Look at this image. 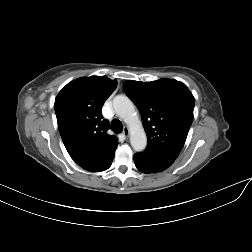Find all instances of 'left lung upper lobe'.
Returning a JSON list of instances; mask_svg holds the SVG:
<instances>
[{
  "instance_id": "left-lung-upper-lobe-1",
  "label": "left lung upper lobe",
  "mask_w": 252,
  "mask_h": 252,
  "mask_svg": "<svg viewBox=\"0 0 252 252\" xmlns=\"http://www.w3.org/2000/svg\"><path fill=\"white\" fill-rule=\"evenodd\" d=\"M126 94L138 107L147 135V148L173 158L181 152L193 121L195 99L185 84L162 79L125 81Z\"/></svg>"
}]
</instances>
